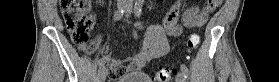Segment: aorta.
<instances>
[{
    "mask_svg": "<svg viewBox=\"0 0 279 82\" xmlns=\"http://www.w3.org/2000/svg\"><path fill=\"white\" fill-rule=\"evenodd\" d=\"M142 0H136V5L139 7V6H141L142 5Z\"/></svg>",
    "mask_w": 279,
    "mask_h": 82,
    "instance_id": "762f6f07",
    "label": "aorta"
}]
</instances>
